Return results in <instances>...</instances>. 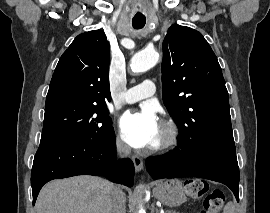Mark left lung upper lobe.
Masks as SVG:
<instances>
[{
	"mask_svg": "<svg viewBox=\"0 0 270 213\" xmlns=\"http://www.w3.org/2000/svg\"><path fill=\"white\" fill-rule=\"evenodd\" d=\"M162 48L163 101L179 139L234 140L221 67L202 34L174 24Z\"/></svg>",
	"mask_w": 270,
	"mask_h": 213,
	"instance_id": "1",
	"label": "left lung upper lobe"
}]
</instances>
